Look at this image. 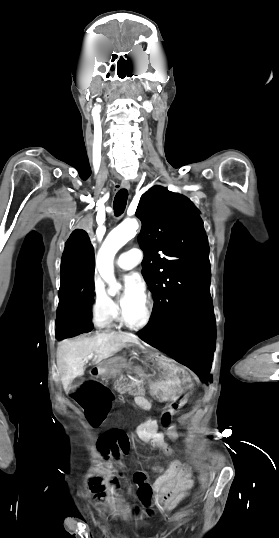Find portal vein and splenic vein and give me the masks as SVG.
Listing matches in <instances>:
<instances>
[{
  "mask_svg": "<svg viewBox=\"0 0 279 538\" xmlns=\"http://www.w3.org/2000/svg\"><path fill=\"white\" fill-rule=\"evenodd\" d=\"M87 358H93V354H91V356H87Z\"/></svg>",
  "mask_w": 279,
  "mask_h": 538,
  "instance_id": "portal-vein-and-splenic-vein-1",
  "label": "portal vein and splenic vein"
}]
</instances>
